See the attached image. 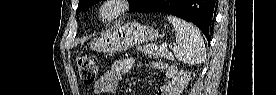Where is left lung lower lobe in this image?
<instances>
[{"mask_svg":"<svg viewBox=\"0 0 277 95\" xmlns=\"http://www.w3.org/2000/svg\"><path fill=\"white\" fill-rule=\"evenodd\" d=\"M218 0H147L137 11L167 12L195 24L211 40Z\"/></svg>","mask_w":277,"mask_h":95,"instance_id":"0a47b994","label":"left lung lower lobe"}]
</instances>
